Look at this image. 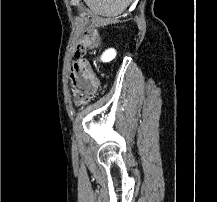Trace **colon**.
Wrapping results in <instances>:
<instances>
[{"label": "colon", "instance_id": "obj_1", "mask_svg": "<svg viewBox=\"0 0 217 202\" xmlns=\"http://www.w3.org/2000/svg\"><path fill=\"white\" fill-rule=\"evenodd\" d=\"M99 35L92 33L90 36H81V41L77 42L78 46H88L93 48L98 43ZM89 41V42H88ZM74 54H86V49H74ZM74 59L70 60L71 64H75V68L68 71L71 75V91L78 92L77 103H88L89 98H93L96 91H100V86H97L96 76L90 71L88 59H84L83 55H74Z\"/></svg>", "mask_w": 217, "mask_h": 202}]
</instances>
